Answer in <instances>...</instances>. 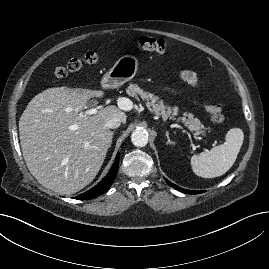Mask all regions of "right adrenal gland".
<instances>
[{
    "mask_svg": "<svg viewBox=\"0 0 269 269\" xmlns=\"http://www.w3.org/2000/svg\"><path fill=\"white\" fill-rule=\"evenodd\" d=\"M111 144H112V140H111L110 143H109V148L111 147Z\"/></svg>",
    "mask_w": 269,
    "mask_h": 269,
    "instance_id": "right-adrenal-gland-1",
    "label": "right adrenal gland"
}]
</instances>
